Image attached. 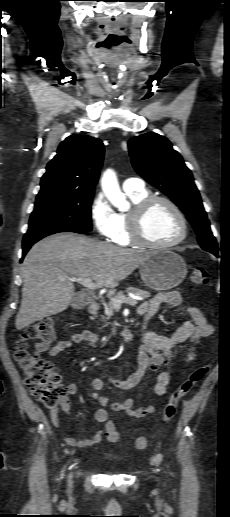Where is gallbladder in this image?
<instances>
[{
    "instance_id": "bac80fb5",
    "label": "gallbladder",
    "mask_w": 230,
    "mask_h": 517,
    "mask_svg": "<svg viewBox=\"0 0 230 517\" xmlns=\"http://www.w3.org/2000/svg\"><path fill=\"white\" fill-rule=\"evenodd\" d=\"M72 306L74 308H82L87 304L85 297L81 293H77L72 299Z\"/></svg>"
}]
</instances>
